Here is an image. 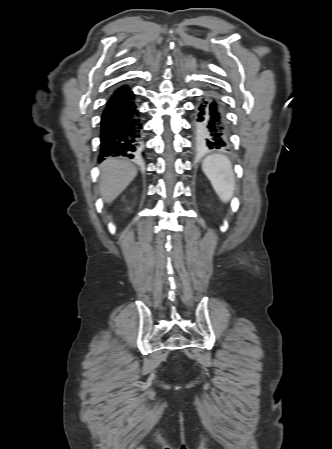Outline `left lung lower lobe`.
Returning <instances> with one entry per match:
<instances>
[{
	"mask_svg": "<svg viewBox=\"0 0 332 449\" xmlns=\"http://www.w3.org/2000/svg\"><path fill=\"white\" fill-rule=\"evenodd\" d=\"M194 143L198 152L227 149L229 136L220 100L206 93L197 105L193 121Z\"/></svg>",
	"mask_w": 332,
	"mask_h": 449,
	"instance_id": "obj_1",
	"label": "left lung lower lobe"
}]
</instances>
